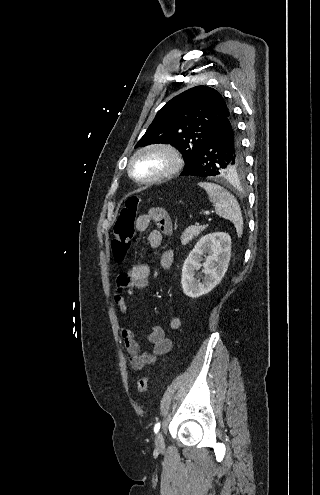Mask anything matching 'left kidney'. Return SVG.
Returning <instances> with one entry per match:
<instances>
[{"instance_id":"1","label":"left kidney","mask_w":320,"mask_h":495,"mask_svg":"<svg viewBox=\"0 0 320 495\" xmlns=\"http://www.w3.org/2000/svg\"><path fill=\"white\" fill-rule=\"evenodd\" d=\"M205 254L208 256L201 264ZM231 257V237L227 233H211L202 237L189 253L182 267L181 284L184 293L192 298L210 292L224 277ZM203 267L204 280L195 273Z\"/></svg>"}]
</instances>
